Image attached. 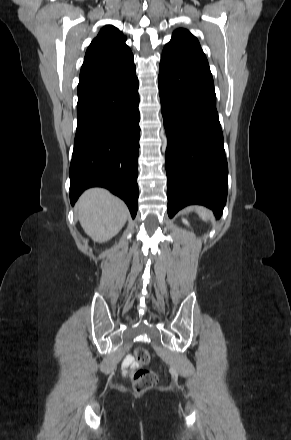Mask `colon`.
<instances>
[{
    "mask_svg": "<svg viewBox=\"0 0 291 440\" xmlns=\"http://www.w3.org/2000/svg\"><path fill=\"white\" fill-rule=\"evenodd\" d=\"M135 355L141 365H146L150 361V354L144 348H138ZM157 382L158 376L154 371L141 368L132 373L133 388L138 393L150 390Z\"/></svg>",
    "mask_w": 291,
    "mask_h": 440,
    "instance_id": "5ec220e1",
    "label": "colon"
}]
</instances>
